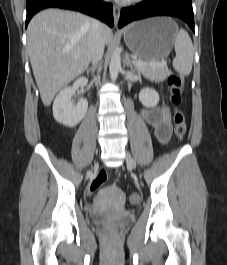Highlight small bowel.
<instances>
[{
    "mask_svg": "<svg viewBox=\"0 0 227 265\" xmlns=\"http://www.w3.org/2000/svg\"><path fill=\"white\" fill-rule=\"evenodd\" d=\"M141 116L145 123L154 129L155 137L159 143L165 144L169 141L172 133V122L168 107H143Z\"/></svg>",
    "mask_w": 227,
    "mask_h": 265,
    "instance_id": "c3829d8e",
    "label": "small bowel"
}]
</instances>
